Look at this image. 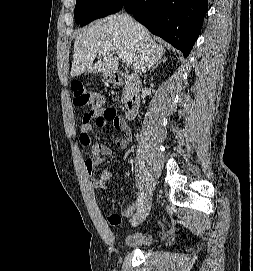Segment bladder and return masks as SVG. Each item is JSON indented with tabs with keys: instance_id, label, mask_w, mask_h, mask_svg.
<instances>
[{
	"instance_id": "31cf9c89",
	"label": "bladder",
	"mask_w": 253,
	"mask_h": 271,
	"mask_svg": "<svg viewBox=\"0 0 253 271\" xmlns=\"http://www.w3.org/2000/svg\"><path fill=\"white\" fill-rule=\"evenodd\" d=\"M158 239L157 234L152 231H137L125 240L124 245L126 248L148 249L154 246Z\"/></svg>"
}]
</instances>
